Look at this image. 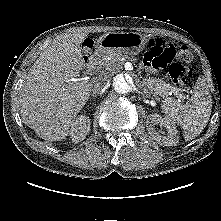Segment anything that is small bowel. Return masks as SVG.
Wrapping results in <instances>:
<instances>
[{"label":"small bowel","instance_id":"obj_1","mask_svg":"<svg viewBox=\"0 0 221 221\" xmlns=\"http://www.w3.org/2000/svg\"><path fill=\"white\" fill-rule=\"evenodd\" d=\"M164 44V41L163 40H160V39H156V40H153L150 45H162Z\"/></svg>","mask_w":221,"mask_h":221}]
</instances>
